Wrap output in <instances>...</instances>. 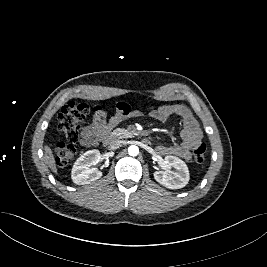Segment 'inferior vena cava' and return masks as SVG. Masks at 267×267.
<instances>
[{"mask_svg":"<svg viewBox=\"0 0 267 267\" xmlns=\"http://www.w3.org/2000/svg\"><path fill=\"white\" fill-rule=\"evenodd\" d=\"M122 145H123L122 140L113 139L110 141L108 148L110 150H116V149L120 148Z\"/></svg>","mask_w":267,"mask_h":267,"instance_id":"inferior-vena-cava-1","label":"inferior vena cava"}]
</instances>
